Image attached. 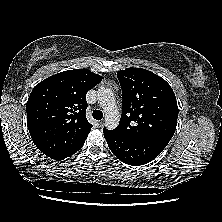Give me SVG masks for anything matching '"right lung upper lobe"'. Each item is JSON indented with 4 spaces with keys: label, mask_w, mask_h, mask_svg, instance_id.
I'll return each mask as SVG.
<instances>
[{
    "label": "right lung upper lobe",
    "mask_w": 222,
    "mask_h": 222,
    "mask_svg": "<svg viewBox=\"0 0 222 222\" xmlns=\"http://www.w3.org/2000/svg\"><path fill=\"white\" fill-rule=\"evenodd\" d=\"M102 80L88 69L67 70L37 84L26 104L31 138L45 155L80 149L91 131L86 93Z\"/></svg>",
    "instance_id": "cb5924a9"
}]
</instances>
